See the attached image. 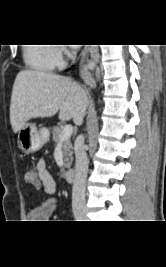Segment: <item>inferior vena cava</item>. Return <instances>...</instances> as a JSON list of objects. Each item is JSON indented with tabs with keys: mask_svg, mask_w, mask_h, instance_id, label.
Segmentation results:
<instances>
[{
	"mask_svg": "<svg viewBox=\"0 0 166 267\" xmlns=\"http://www.w3.org/2000/svg\"><path fill=\"white\" fill-rule=\"evenodd\" d=\"M84 137L80 135L75 145V178L72 188V208L74 212L85 208V188L88 171V158L84 149Z\"/></svg>",
	"mask_w": 166,
	"mask_h": 267,
	"instance_id": "inferior-vena-cava-1",
	"label": "inferior vena cava"
}]
</instances>
